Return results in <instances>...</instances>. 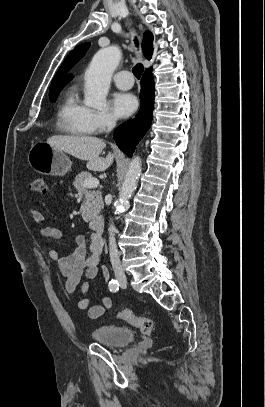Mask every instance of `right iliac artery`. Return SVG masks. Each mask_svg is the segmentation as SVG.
Wrapping results in <instances>:
<instances>
[{"mask_svg": "<svg viewBox=\"0 0 265 407\" xmlns=\"http://www.w3.org/2000/svg\"><path fill=\"white\" fill-rule=\"evenodd\" d=\"M119 283L116 280H111L109 282V290L113 293L117 292L119 290Z\"/></svg>", "mask_w": 265, "mask_h": 407, "instance_id": "right-iliac-artery-1", "label": "right iliac artery"}]
</instances>
